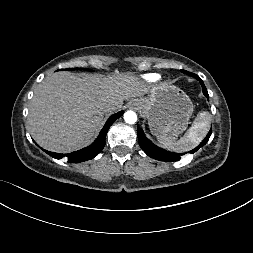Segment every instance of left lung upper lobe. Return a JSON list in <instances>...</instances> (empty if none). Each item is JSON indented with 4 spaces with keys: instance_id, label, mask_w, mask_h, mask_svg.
<instances>
[{
    "instance_id": "1",
    "label": "left lung upper lobe",
    "mask_w": 253,
    "mask_h": 253,
    "mask_svg": "<svg viewBox=\"0 0 253 253\" xmlns=\"http://www.w3.org/2000/svg\"><path fill=\"white\" fill-rule=\"evenodd\" d=\"M183 73L187 74L188 71H185V70H181Z\"/></svg>"
}]
</instances>
